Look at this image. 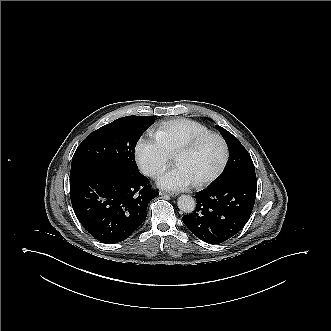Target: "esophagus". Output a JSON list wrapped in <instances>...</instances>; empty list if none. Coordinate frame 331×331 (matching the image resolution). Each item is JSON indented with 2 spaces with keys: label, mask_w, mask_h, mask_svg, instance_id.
Instances as JSON below:
<instances>
[{
  "label": "esophagus",
  "mask_w": 331,
  "mask_h": 331,
  "mask_svg": "<svg viewBox=\"0 0 331 331\" xmlns=\"http://www.w3.org/2000/svg\"><path fill=\"white\" fill-rule=\"evenodd\" d=\"M161 195H169L171 197H176L179 195L178 192H170V191H161L160 192Z\"/></svg>",
  "instance_id": "esophagus-1"
}]
</instances>
